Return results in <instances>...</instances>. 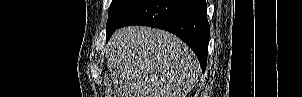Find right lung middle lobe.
Wrapping results in <instances>:
<instances>
[{
  "label": "right lung middle lobe",
  "instance_id": "obj_1",
  "mask_svg": "<svg viewBox=\"0 0 302 97\" xmlns=\"http://www.w3.org/2000/svg\"><path fill=\"white\" fill-rule=\"evenodd\" d=\"M145 0H112L106 25V41L121 22Z\"/></svg>",
  "mask_w": 302,
  "mask_h": 97
}]
</instances>
